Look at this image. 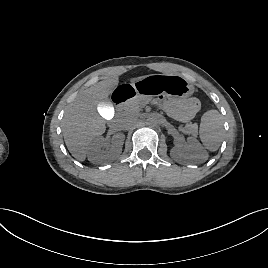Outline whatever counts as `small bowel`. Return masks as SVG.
Wrapping results in <instances>:
<instances>
[{
	"mask_svg": "<svg viewBox=\"0 0 268 268\" xmlns=\"http://www.w3.org/2000/svg\"><path fill=\"white\" fill-rule=\"evenodd\" d=\"M163 105L170 116L182 123L192 120L200 108V103L196 98H189L185 100L166 98L163 101Z\"/></svg>",
	"mask_w": 268,
	"mask_h": 268,
	"instance_id": "small-bowel-1",
	"label": "small bowel"
}]
</instances>
